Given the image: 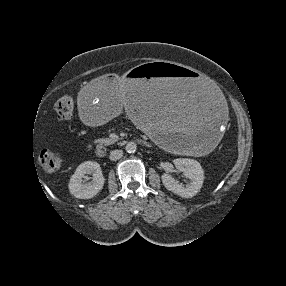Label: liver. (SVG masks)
<instances>
[{"mask_svg": "<svg viewBox=\"0 0 286 286\" xmlns=\"http://www.w3.org/2000/svg\"><path fill=\"white\" fill-rule=\"evenodd\" d=\"M127 86L123 83L120 85V90H119V94H120V97L123 99L122 102L125 101V94L127 92Z\"/></svg>", "mask_w": 286, "mask_h": 286, "instance_id": "6515ba94", "label": "liver"}]
</instances>
